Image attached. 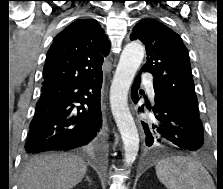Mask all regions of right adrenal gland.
I'll return each instance as SVG.
<instances>
[{"instance_id": "right-adrenal-gland-1", "label": "right adrenal gland", "mask_w": 223, "mask_h": 189, "mask_svg": "<svg viewBox=\"0 0 223 189\" xmlns=\"http://www.w3.org/2000/svg\"><path fill=\"white\" fill-rule=\"evenodd\" d=\"M86 180H87L88 182H91V180L89 179V177H88V176L86 177Z\"/></svg>"}]
</instances>
